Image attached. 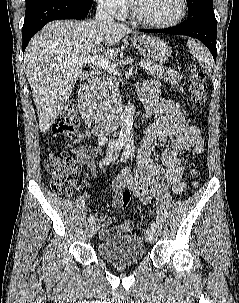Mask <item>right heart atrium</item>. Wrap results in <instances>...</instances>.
<instances>
[{
	"instance_id": "right-heart-atrium-1",
	"label": "right heart atrium",
	"mask_w": 239,
	"mask_h": 303,
	"mask_svg": "<svg viewBox=\"0 0 239 303\" xmlns=\"http://www.w3.org/2000/svg\"><path fill=\"white\" fill-rule=\"evenodd\" d=\"M99 6L114 17L123 18L128 13V0H96Z\"/></svg>"
}]
</instances>
